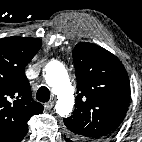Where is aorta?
<instances>
[{
  "mask_svg": "<svg viewBox=\"0 0 142 142\" xmlns=\"http://www.w3.org/2000/svg\"><path fill=\"white\" fill-rule=\"evenodd\" d=\"M45 80L57 95L56 113L61 117L69 115L74 106V93L64 65L51 61L45 68Z\"/></svg>",
  "mask_w": 142,
  "mask_h": 142,
  "instance_id": "1",
  "label": "aorta"
}]
</instances>
